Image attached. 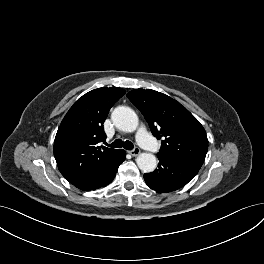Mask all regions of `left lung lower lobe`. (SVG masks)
<instances>
[{"instance_id": "0a47b994", "label": "left lung lower lobe", "mask_w": 264, "mask_h": 264, "mask_svg": "<svg viewBox=\"0 0 264 264\" xmlns=\"http://www.w3.org/2000/svg\"><path fill=\"white\" fill-rule=\"evenodd\" d=\"M158 157V168L151 173L144 174L146 184L158 192H171L185 186L200 169L181 159L168 156Z\"/></svg>"}]
</instances>
